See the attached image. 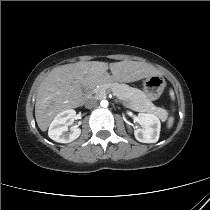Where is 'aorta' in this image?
Here are the masks:
<instances>
[{
  "label": "aorta",
  "instance_id": "762f6f07",
  "mask_svg": "<svg viewBox=\"0 0 210 210\" xmlns=\"http://www.w3.org/2000/svg\"><path fill=\"white\" fill-rule=\"evenodd\" d=\"M100 104L104 108L108 107V101L107 100H102Z\"/></svg>",
  "mask_w": 210,
  "mask_h": 210
}]
</instances>
